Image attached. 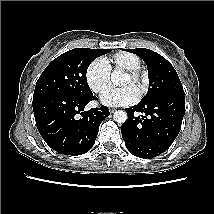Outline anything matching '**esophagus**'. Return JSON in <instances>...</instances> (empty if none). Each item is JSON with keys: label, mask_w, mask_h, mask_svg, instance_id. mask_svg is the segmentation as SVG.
Segmentation results:
<instances>
[{"label": "esophagus", "mask_w": 214, "mask_h": 214, "mask_svg": "<svg viewBox=\"0 0 214 214\" xmlns=\"http://www.w3.org/2000/svg\"><path fill=\"white\" fill-rule=\"evenodd\" d=\"M109 111L112 114V113H114L115 110L114 109H110Z\"/></svg>", "instance_id": "1"}]
</instances>
